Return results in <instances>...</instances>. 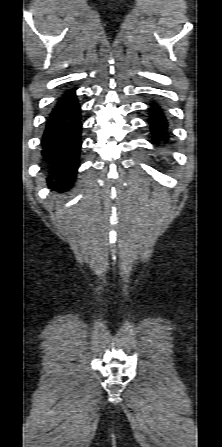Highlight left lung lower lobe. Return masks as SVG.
I'll list each match as a JSON object with an SVG mask.
<instances>
[{"mask_svg":"<svg viewBox=\"0 0 222 447\" xmlns=\"http://www.w3.org/2000/svg\"><path fill=\"white\" fill-rule=\"evenodd\" d=\"M152 108L150 109V117L148 119V123L150 124V130L153 135V141L158 143V139L162 136L163 138L166 136L167 123L165 118L163 117L160 109L154 105L150 104Z\"/></svg>","mask_w":222,"mask_h":447,"instance_id":"1","label":"left lung lower lobe"}]
</instances>
